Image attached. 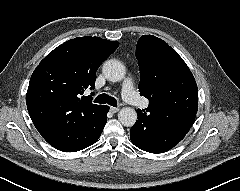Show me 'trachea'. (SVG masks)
<instances>
[{"label": "trachea", "mask_w": 240, "mask_h": 191, "mask_svg": "<svg viewBox=\"0 0 240 191\" xmlns=\"http://www.w3.org/2000/svg\"><path fill=\"white\" fill-rule=\"evenodd\" d=\"M95 103H100V104H109L113 107H117V100L114 97H111L107 94H101L99 96L96 97V99L94 100Z\"/></svg>", "instance_id": "trachea-1"}]
</instances>
